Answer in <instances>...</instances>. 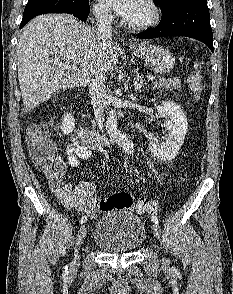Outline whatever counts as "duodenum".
Returning a JSON list of instances; mask_svg holds the SVG:
<instances>
[{
    "label": "duodenum",
    "instance_id": "obj_1",
    "mask_svg": "<svg viewBox=\"0 0 233 294\" xmlns=\"http://www.w3.org/2000/svg\"><path fill=\"white\" fill-rule=\"evenodd\" d=\"M76 135L80 138V140L83 143L92 148L99 147L109 143L108 138L104 134L98 131L86 129L82 126L77 128Z\"/></svg>",
    "mask_w": 233,
    "mask_h": 294
}]
</instances>
